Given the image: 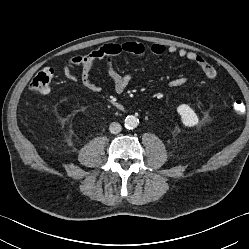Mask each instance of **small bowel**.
I'll use <instances>...</instances> for the list:
<instances>
[{
  "instance_id": "obj_1",
  "label": "small bowel",
  "mask_w": 249,
  "mask_h": 249,
  "mask_svg": "<svg viewBox=\"0 0 249 249\" xmlns=\"http://www.w3.org/2000/svg\"><path fill=\"white\" fill-rule=\"evenodd\" d=\"M149 51L156 56H161L168 53L170 55H176L182 59L194 62L209 79H213L217 75L216 69L196 52L188 51L176 46L166 47L165 45L159 43L151 45ZM145 52V46L136 41L106 43L84 56H75L70 58L63 67V75L70 81L79 80L89 91L93 93H99L101 92V87L91 80L90 73L98 61L105 60L107 64L108 75L113 85L114 91L117 94H121L128 87L132 79V75L130 72H118L113 65L114 58L123 54L142 57ZM75 66L80 67L81 70L79 74L74 71ZM188 83L189 79L187 77H178L168 83V88L177 89L184 87Z\"/></svg>"
}]
</instances>
